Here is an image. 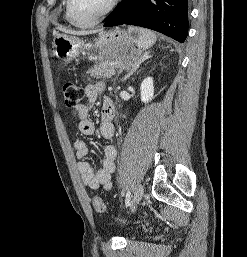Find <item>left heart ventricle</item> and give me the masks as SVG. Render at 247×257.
<instances>
[{"mask_svg":"<svg viewBox=\"0 0 247 257\" xmlns=\"http://www.w3.org/2000/svg\"><path fill=\"white\" fill-rule=\"evenodd\" d=\"M111 0H73V13L81 22L91 21L101 14Z\"/></svg>","mask_w":247,"mask_h":257,"instance_id":"1","label":"left heart ventricle"}]
</instances>
